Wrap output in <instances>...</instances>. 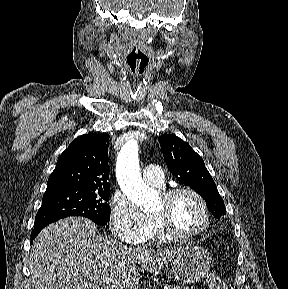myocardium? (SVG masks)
<instances>
[{"label": "myocardium", "mask_w": 288, "mask_h": 289, "mask_svg": "<svg viewBox=\"0 0 288 289\" xmlns=\"http://www.w3.org/2000/svg\"><path fill=\"white\" fill-rule=\"evenodd\" d=\"M187 194L196 199L202 210V222L193 231L188 233H180L175 231L168 221V219L163 215L153 214V219L160 230V232L171 240H189L195 238L202 234L209 226L210 215L209 208L205 199L196 190L188 187L172 188L161 193V199L165 206H168L175 198Z\"/></svg>", "instance_id": "obj_1"}]
</instances>
